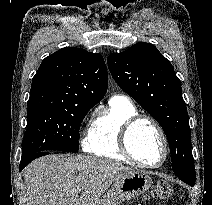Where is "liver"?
Returning a JSON list of instances; mask_svg holds the SVG:
<instances>
[{"label": "liver", "mask_w": 212, "mask_h": 205, "mask_svg": "<svg viewBox=\"0 0 212 205\" xmlns=\"http://www.w3.org/2000/svg\"><path fill=\"white\" fill-rule=\"evenodd\" d=\"M133 171L91 156H45L25 169L28 205H97L113 182Z\"/></svg>", "instance_id": "6515ba94"}]
</instances>
